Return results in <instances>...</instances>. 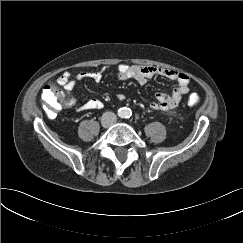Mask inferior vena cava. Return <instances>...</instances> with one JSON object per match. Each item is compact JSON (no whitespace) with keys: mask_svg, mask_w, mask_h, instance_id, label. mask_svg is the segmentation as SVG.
I'll return each instance as SVG.
<instances>
[{"mask_svg":"<svg viewBox=\"0 0 243 243\" xmlns=\"http://www.w3.org/2000/svg\"><path fill=\"white\" fill-rule=\"evenodd\" d=\"M117 120V116L113 112H105L102 116V123L104 126L108 127L113 125Z\"/></svg>","mask_w":243,"mask_h":243,"instance_id":"602c4592","label":"inferior vena cava"}]
</instances>
